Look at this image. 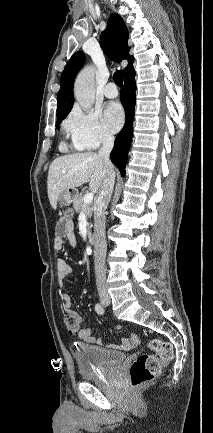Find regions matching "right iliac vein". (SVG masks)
<instances>
[{"label": "right iliac vein", "instance_id": "63e3f726", "mask_svg": "<svg viewBox=\"0 0 213 433\" xmlns=\"http://www.w3.org/2000/svg\"><path fill=\"white\" fill-rule=\"evenodd\" d=\"M100 299H101V302H102L103 304H106V303L109 302V297H108V295H106V294H101V295H100Z\"/></svg>", "mask_w": 213, "mask_h": 433}]
</instances>
